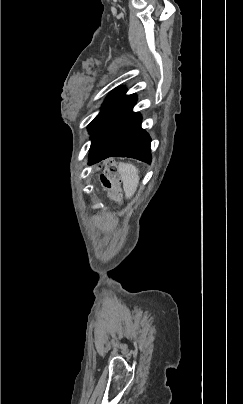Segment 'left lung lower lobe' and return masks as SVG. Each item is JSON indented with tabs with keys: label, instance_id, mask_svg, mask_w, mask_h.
I'll list each match as a JSON object with an SVG mask.
<instances>
[{
	"label": "left lung lower lobe",
	"instance_id": "left-lung-lower-lobe-1",
	"mask_svg": "<svg viewBox=\"0 0 243 404\" xmlns=\"http://www.w3.org/2000/svg\"><path fill=\"white\" fill-rule=\"evenodd\" d=\"M137 97L129 95L102 114L90 130L89 163L108 157H132L151 162L149 135L141 128V116L132 112Z\"/></svg>",
	"mask_w": 243,
	"mask_h": 404
}]
</instances>
